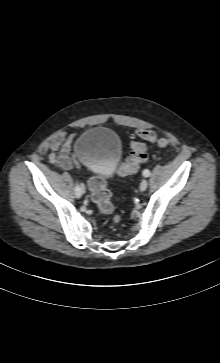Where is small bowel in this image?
<instances>
[{
    "mask_svg": "<svg viewBox=\"0 0 220 363\" xmlns=\"http://www.w3.org/2000/svg\"><path fill=\"white\" fill-rule=\"evenodd\" d=\"M74 135L64 132L57 133L51 140L49 159L50 162L62 169H79V163L71 155V140Z\"/></svg>",
    "mask_w": 220,
    "mask_h": 363,
    "instance_id": "1",
    "label": "small bowel"
}]
</instances>
